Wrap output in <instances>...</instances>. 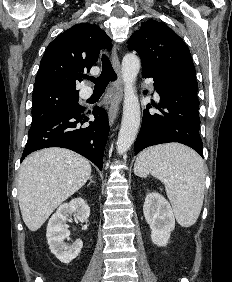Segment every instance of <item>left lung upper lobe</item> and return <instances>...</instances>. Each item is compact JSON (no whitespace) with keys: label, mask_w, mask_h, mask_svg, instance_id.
<instances>
[{"label":"left lung upper lobe","mask_w":232,"mask_h":282,"mask_svg":"<svg viewBox=\"0 0 232 282\" xmlns=\"http://www.w3.org/2000/svg\"><path fill=\"white\" fill-rule=\"evenodd\" d=\"M128 49L138 53L142 73L157 77L173 76L196 80L195 67L184 41L164 23L143 22L128 41Z\"/></svg>","instance_id":"left-lung-upper-lobe-1"}]
</instances>
